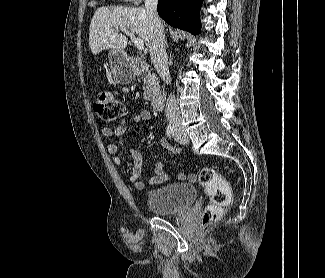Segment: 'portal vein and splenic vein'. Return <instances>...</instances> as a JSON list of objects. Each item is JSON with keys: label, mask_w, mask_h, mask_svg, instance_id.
<instances>
[{"label": "portal vein and splenic vein", "mask_w": 325, "mask_h": 278, "mask_svg": "<svg viewBox=\"0 0 325 278\" xmlns=\"http://www.w3.org/2000/svg\"><path fill=\"white\" fill-rule=\"evenodd\" d=\"M121 31L130 36L131 40L138 50L142 51L145 49L144 41L141 38H136L134 33L130 32L127 28H122Z\"/></svg>", "instance_id": "18ae733b"}]
</instances>
